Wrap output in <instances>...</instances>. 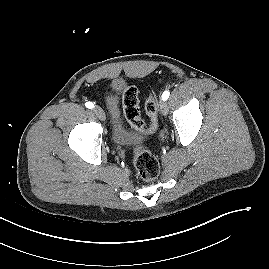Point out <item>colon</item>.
Segmentation results:
<instances>
[{
	"label": "colon",
	"instance_id": "colon-1",
	"mask_svg": "<svg viewBox=\"0 0 269 269\" xmlns=\"http://www.w3.org/2000/svg\"><path fill=\"white\" fill-rule=\"evenodd\" d=\"M123 112L128 122L138 131L144 134H153L158 128L157 103L152 96L145 101V111L150 119L149 124H145L141 118L139 107V94L134 86L128 87L122 98ZM133 165L139 176L146 181L156 179L160 172L158 159L146 149H138L133 154Z\"/></svg>",
	"mask_w": 269,
	"mask_h": 269
}]
</instances>
